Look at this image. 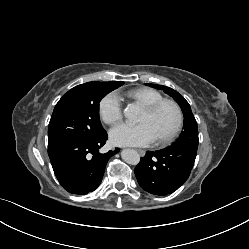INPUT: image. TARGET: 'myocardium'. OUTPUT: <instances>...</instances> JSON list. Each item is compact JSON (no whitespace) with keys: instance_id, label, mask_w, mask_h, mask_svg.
<instances>
[{"instance_id":"obj_1","label":"myocardium","mask_w":249,"mask_h":249,"mask_svg":"<svg viewBox=\"0 0 249 249\" xmlns=\"http://www.w3.org/2000/svg\"><path fill=\"white\" fill-rule=\"evenodd\" d=\"M166 105L171 106L174 109L176 113V121H175L173 128L171 129L169 133L156 139L158 144H167L176 138V136L179 134L182 128V125H183V120H184L183 111L180 105L176 101L171 100V99H162L152 104L143 106V109L146 112L153 114L157 112L160 108Z\"/></svg>"}]
</instances>
